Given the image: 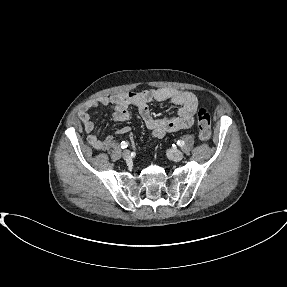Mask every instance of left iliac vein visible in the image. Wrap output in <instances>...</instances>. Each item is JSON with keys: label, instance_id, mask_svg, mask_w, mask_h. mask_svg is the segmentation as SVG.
Wrapping results in <instances>:
<instances>
[{"label": "left iliac vein", "instance_id": "4c4485c4", "mask_svg": "<svg viewBox=\"0 0 287 287\" xmlns=\"http://www.w3.org/2000/svg\"><path fill=\"white\" fill-rule=\"evenodd\" d=\"M168 155H169L170 159H172L173 161H176V162L182 160V158H183V153L177 149L170 150Z\"/></svg>", "mask_w": 287, "mask_h": 287}]
</instances>
